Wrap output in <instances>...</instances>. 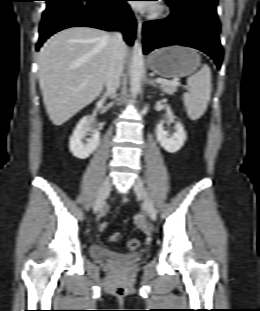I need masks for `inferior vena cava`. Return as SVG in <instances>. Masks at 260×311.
<instances>
[{"mask_svg":"<svg viewBox=\"0 0 260 311\" xmlns=\"http://www.w3.org/2000/svg\"><path fill=\"white\" fill-rule=\"evenodd\" d=\"M111 39V49L108 56V69L106 75V96L114 97L120 84V77L124 65L125 42L120 33L108 34Z\"/></svg>","mask_w":260,"mask_h":311,"instance_id":"602c4592","label":"inferior vena cava"}]
</instances>
